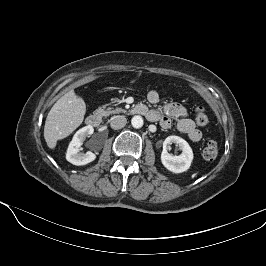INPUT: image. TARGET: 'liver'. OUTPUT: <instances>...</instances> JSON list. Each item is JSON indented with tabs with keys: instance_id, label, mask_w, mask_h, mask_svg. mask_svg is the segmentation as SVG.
Here are the masks:
<instances>
[{
	"instance_id": "liver-1",
	"label": "liver",
	"mask_w": 266,
	"mask_h": 266,
	"mask_svg": "<svg viewBox=\"0 0 266 266\" xmlns=\"http://www.w3.org/2000/svg\"><path fill=\"white\" fill-rule=\"evenodd\" d=\"M86 104L74 90L59 98L49 111L45 126L44 138L50 149L56 147L57 141L69 136L84 120Z\"/></svg>"
}]
</instances>
